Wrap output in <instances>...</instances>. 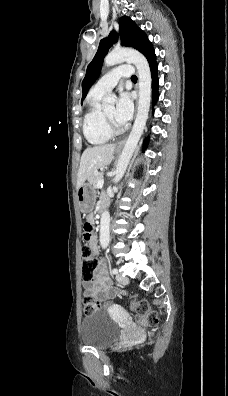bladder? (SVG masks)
Returning a JSON list of instances; mask_svg holds the SVG:
<instances>
[{
    "label": "bladder",
    "mask_w": 228,
    "mask_h": 396,
    "mask_svg": "<svg viewBox=\"0 0 228 396\" xmlns=\"http://www.w3.org/2000/svg\"><path fill=\"white\" fill-rule=\"evenodd\" d=\"M120 337V328L105 311L97 310L87 314L80 325L81 342L97 349L109 347Z\"/></svg>",
    "instance_id": "1"
}]
</instances>
